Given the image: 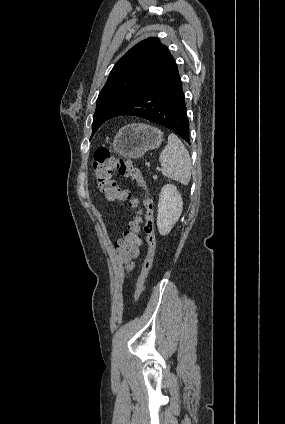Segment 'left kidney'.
I'll return each instance as SVG.
<instances>
[{
    "label": "left kidney",
    "instance_id": "left-kidney-1",
    "mask_svg": "<svg viewBox=\"0 0 285 424\" xmlns=\"http://www.w3.org/2000/svg\"><path fill=\"white\" fill-rule=\"evenodd\" d=\"M182 210L183 201L177 187L173 184L164 185L159 195L157 214V227L161 235L170 233Z\"/></svg>",
    "mask_w": 285,
    "mask_h": 424
}]
</instances>
